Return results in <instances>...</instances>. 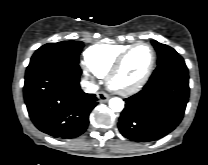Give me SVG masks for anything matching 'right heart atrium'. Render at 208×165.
Wrapping results in <instances>:
<instances>
[{"instance_id":"1","label":"right heart atrium","mask_w":208,"mask_h":165,"mask_svg":"<svg viewBox=\"0 0 208 165\" xmlns=\"http://www.w3.org/2000/svg\"><path fill=\"white\" fill-rule=\"evenodd\" d=\"M82 69H83L85 76H87L89 78L93 77L94 73L88 68V66L86 64L82 65Z\"/></svg>"}]
</instances>
